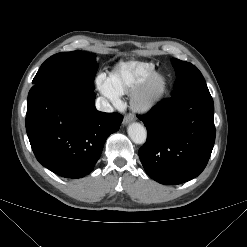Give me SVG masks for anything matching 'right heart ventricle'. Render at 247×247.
<instances>
[{"label": "right heart ventricle", "mask_w": 247, "mask_h": 247, "mask_svg": "<svg viewBox=\"0 0 247 247\" xmlns=\"http://www.w3.org/2000/svg\"><path fill=\"white\" fill-rule=\"evenodd\" d=\"M155 65L149 62H121L109 73L108 80L118 95L138 89L153 73Z\"/></svg>", "instance_id": "e07e8e85"}]
</instances>
